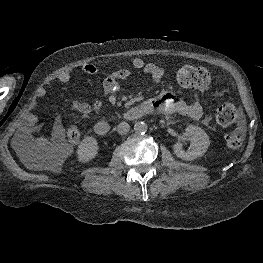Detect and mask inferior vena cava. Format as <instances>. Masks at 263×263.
<instances>
[{
    "label": "inferior vena cava",
    "instance_id": "602c4592",
    "mask_svg": "<svg viewBox=\"0 0 263 263\" xmlns=\"http://www.w3.org/2000/svg\"><path fill=\"white\" fill-rule=\"evenodd\" d=\"M130 131V126L126 122H121L117 126V132L120 135H126Z\"/></svg>",
    "mask_w": 263,
    "mask_h": 263
}]
</instances>
